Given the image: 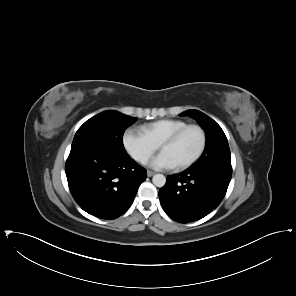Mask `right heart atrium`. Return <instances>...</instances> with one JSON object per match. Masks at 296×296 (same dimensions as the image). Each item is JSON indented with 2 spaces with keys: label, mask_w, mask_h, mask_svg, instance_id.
Returning <instances> with one entry per match:
<instances>
[{
  "label": "right heart atrium",
  "mask_w": 296,
  "mask_h": 296,
  "mask_svg": "<svg viewBox=\"0 0 296 296\" xmlns=\"http://www.w3.org/2000/svg\"><path fill=\"white\" fill-rule=\"evenodd\" d=\"M123 142L127 152L139 162H146L158 150V146L139 129L128 130Z\"/></svg>",
  "instance_id": "right-heart-atrium-1"
}]
</instances>
